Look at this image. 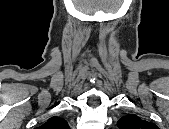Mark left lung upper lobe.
<instances>
[{
	"instance_id": "left-lung-upper-lobe-1",
	"label": "left lung upper lobe",
	"mask_w": 169,
	"mask_h": 129,
	"mask_svg": "<svg viewBox=\"0 0 169 129\" xmlns=\"http://www.w3.org/2000/svg\"><path fill=\"white\" fill-rule=\"evenodd\" d=\"M117 125L120 129H157L155 124L142 120L134 114H128L120 118Z\"/></svg>"
}]
</instances>
